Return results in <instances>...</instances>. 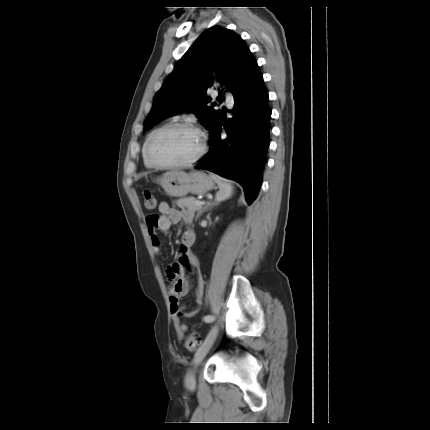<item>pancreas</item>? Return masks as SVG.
Wrapping results in <instances>:
<instances>
[{"instance_id": "cf45deb5", "label": "pancreas", "mask_w": 430, "mask_h": 430, "mask_svg": "<svg viewBox=\"0 0 430 430\" xmlns=\"http://www.w3.org/2000/svg\"><path fill=\"white\" fill-rule=\"evenodd\" d=\"M196 199L195 197H185V198H181L178 199L177 201H175V203L177 204V206H179L180 208H187L190 211H200L202 209L201 206H197L196 205Z\"/></svg>"}]
</instances>
